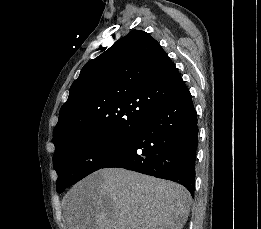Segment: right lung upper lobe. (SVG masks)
Here are the masks:
<instances>
[{
  "label": "right lung upper lobe",
  "mask_w": 261,
  "mask_h": 229,
  "mask_svg": "<svg viewBox=\"0 0 261 229\" xmlns=\"http://www.w3.org/2000/svg\"><path fill=\"white\" fill-rule=\"evenodd\" d=\"M183 83L148 33L133 30L82 68L54 129L55 148L83 134H136Z\"/></svg>",
  "instance_id": "cb5924a9"
}]
</instances>
